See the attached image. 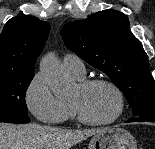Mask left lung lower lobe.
<instances>
[{
  "instance_id": "0a47b994",
  "label": "left lung lower lobe",
  "mask_w": 155,
  "mask_h": 149,
  "mask_svg": "<svg viewBox=\"0 0 155 149\" xmlns=\"http://www.w3.org/2000/svg\"><path fill=\"white\" fill-rule=\"evenodd\" d=\"M126 122H155V111L153 110L145 115L130 118Z\"/></svg>"
}]
</instances>
